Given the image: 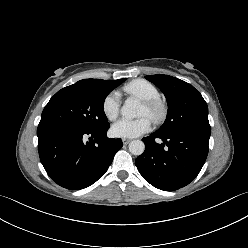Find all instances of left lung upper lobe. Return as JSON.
Segmentation results:
<instances>
[{
  "instance_id": "left-lung-upper-lobe-1",
  "label": "left lung upper lobe",
  "mask_w": 248,
  "mask_h": 248,
  "mask_svg": "<svg viewBox=\"0 0 248 248\" xmlns=\"http://www.w3.org/2000/svg\"><path fill=\"white\" fill-rule=\"evenodd\" d=\"M145 78L164 93L168 103L167 118L158 134L167 136L183 128L209 125L207 104L192 85L168 75Z\"/></svg>"
}]
</instances>
